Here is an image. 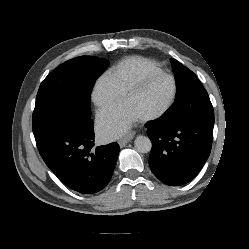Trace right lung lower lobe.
Returning <instances> with one entry per match:
<instances>
[{"instance_id": "right-lung-lower-lobe-1", "label": "right lung lower lobe", "mask_w": 249, "mask_h": 249, "mask_svg": "<svg viewBox=\"0 0 249 249\" xmlns=\"http://www.w3.org/2000/svg\"><path fill=\"white\" fill-rule=\"evenodd\" d=\"M39 153L50 170L68 187L91 194L110 181L119 145L94 147L90 117L71 119V114L47 120L33 129Z\"/></svg>"}]
</instances>
